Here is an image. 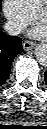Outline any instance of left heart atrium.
I'll use <instances>...</instances> for the list:
<instances>
[{
	"instance_id": "obj_1",
	"label": "left heart atrium",
	"mask_w": 47,
	"mask_h": 129,
	"mask_svg": "<svg viewBox=\"0 0 47 129\" xmlns=\"http://www.w3.org/2000/svg\"><path fill=\"white\" fill-rule=\"evenodd\" d=\"M46 33V29L44 26L42 25H37L33 28V30L30 32V35L33 36V37H42L44 36Z\"/></svg>"
}]
</instances>
